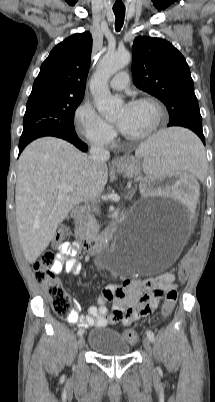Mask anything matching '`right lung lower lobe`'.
Returning <instances> with one entry per match:
<instances>
[{"label": "right lung lower lobe", "mask_w": 215, "mask_h": 402, "mask_svg": "<svg viewBox=\"0 0 215 402\" xmlns=\"http://www.w3.org/2000/svg\"><path fill=\"white\" fill-rule=\"evenodd\" d=\"M59 138H63L69 142H71L72 144H74L77 148H79L80 150H82L83 152H86L88 147L85 143H83L78 136L76 135V133L74 134H65V135H61L58 136ZM26 145H19V153H21V151L24 149Z\"/></svg>", "instance_id": "right-lung-lower-lobe-1"}]
</instances>
